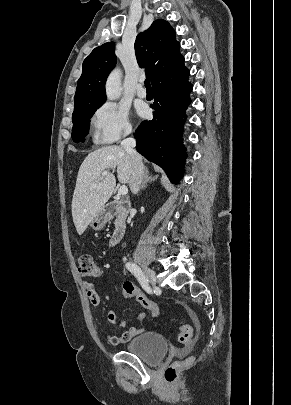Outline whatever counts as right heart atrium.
Wrapping results in <instances>:
<instances>
[{
  "instance_id": "d8ad5b80",
  "label": "right heart atrium",
  "mask_w": 291,
  "mask_h": 405,
  "mask_svg": "<svg viewBox=\"0 0 291 405\" xmlns=\"http://www.w3.org/2000/svg\"><path fill=\"white\" fill-rule=\"evenodd\" d=\"M91 125L95 142L102 145L112 144L133 131L128 109L114 102L100 105L92 115Z\"/></svg>"
}]
</instances>
